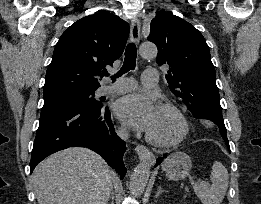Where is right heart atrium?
Wrapping results in <instances>:
<instances>
[{"instance_id":"obj_1","label":"right heart atrium","mask_w":261,"mask_h":204,"mask_svg":"<svg viewBox=\"0 0 261 204\" xmlns=\"http://www.w3.org/2000/svg\"><path fill=\"white\" fill-rule=\"evenodd\" d=\"M119 132L122 134V135H125L127 133V129L125 126H121L120 129H119Z\"/></svg>"}]
</instances>
